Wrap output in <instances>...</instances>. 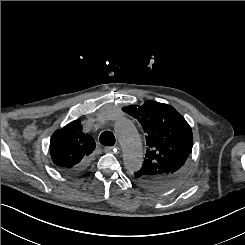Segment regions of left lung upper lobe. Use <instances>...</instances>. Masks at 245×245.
<instances>
[{
    "mask_svg": "<svg viewBox=\"0 0 245 245\" xmlns=\"http://www.w3.org/2000/svg\"><path fill=\"white\" fill-rule=\"evenodd\" d=\"M123 111L136 118L146 133V156L133 180L156 189L159 182L177 178L193 147L191 127L182 115L170 105L155 101L130 105Z\"/></svg>",
    "mask_w": 245,
    "mask_h": 245,
    "instance_id": "1",
    "label": "left lung upper lobe"
}]
</instances>
